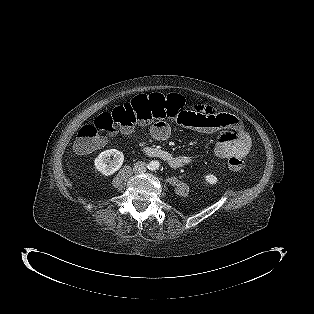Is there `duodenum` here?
Returning <instances> with one entry per match:
<instances>
[{"label": "duodenum", "instance_id": "410a0bca", "mask_svg": "<svg viewBox=\"0 0 314 314\" xmlns=\"http://www.w3.org/2000/svg\"><path fill=\"white\" fill-rule=\"evenodd\" d=\"M142 148L143 151L149 156L161 158L171 165L176 162V158L169 151L150 146H143Z\"/></svg>", "mask_w": 314, "mask_h": 314}]
</instances>
